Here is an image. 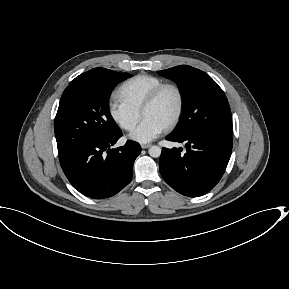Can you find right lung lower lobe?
<instances>
[{
    "label": "right lung lower lobe",
    "instance_id": "right-lung-lower-lobe-1",
    "mask_svg": "<svg viewBox=\"0 0 289 289\" xmlns=\"http://www.w3.org/2000/svg\"><path fill=\"white\" fill-rule=\"evenodd\" d=\"M121 136L120 130L105 140L60 156L64 174L80 193L103 199L117 194L130 183L133 163L141 147L128 140L124 146L110 149Z\"/></svg>",
    "mask_w": 289,
    "mask_h": 289
}]
</instances>
